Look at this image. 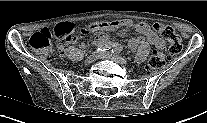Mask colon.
Here are the masks:
<instances>
[{
    "instance_id": "obj_1",
    "label": "colon",
    "mask_w": 207,
    "mask_h": 123,
    "mask_svg": "<svg viewBox=\"0 0 207 123\" xmlns=\"http://www.w3.org/2000/svg\"><path fill=\"white\" fill-rule=\"evenodd\" d=\"M153 29L168 41L167 50L155 52L148 61L149 69L155 71L163 66L167 57L179 55L183 51V44L171 26L156 22L153 24ZM75 31L74 24L70 22L59 23L53 29L42 28L30 37L29 46L38 52L50 53L52 35H55L61 42H70L76 38Z\"/></svg>"
}]
</instances>
